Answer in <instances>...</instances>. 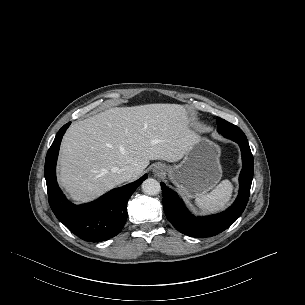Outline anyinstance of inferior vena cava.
Segmentation results:
<instances>
[{"mask_svg":"<svg viewBox=\"0 0 305 305\" xmlns=\"http://www.w3.org/2000/svg\"><path fill=\"white\" fill-rule=\"evenodd\" d=\"M133 172H134L133 167L124 166L118 171V174H119L121 180L124 182V181H128L131 179Z\"/></svg>","mask_w":305,"mask_h":305,"instance_id":"1","label":"inferior vena cava"}]
</instances>
